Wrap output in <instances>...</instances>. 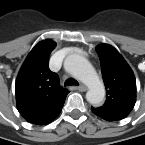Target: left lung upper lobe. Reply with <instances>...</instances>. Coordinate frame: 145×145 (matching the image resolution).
<instances>
[{"instance_id":"obj_1","label":"left lung upper lobe","mask_w":145,"mask_h":145,"mask_svg":"<svg viewBox=\"0 0 145 145\" xmlns=\"http://www.w3.org/2000/svg\"><path fill=\"white\" fill-rule=\"evenodd\" d=\"M96 52L100 58L107 99L103 106L92 108V111L108 121L124 119L136 102L134 74L127 62L112 46L99 45Z\"/></svg>"}]
</instances>
